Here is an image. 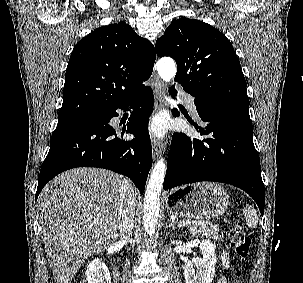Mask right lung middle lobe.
Masks as SVG:
<instances>
[{"mask_svg":"<svg viewBox=\"0 0 303 283\" xmlns=\"http://www.w3.org/2000/svg\"><path fill=\"white\" fill-rule=\"evenodd\" d=\"M101 116V111L87 112L72 116L58 117V124L77 122V121H95Z\"/></svg>","mask_w":303,"mask_h":283,"instance_id":"obj_1","label":"right lung middle lobe"}]
</instances>
